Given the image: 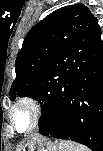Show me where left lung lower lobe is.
Listing matches in <instances>:
<instances>
[{
  "mask_svg": "<svg viewBox=\"0 0 103 151\" xmlns=\"http://www.w3.org/2000/svg\"><path fill=\"white\" fill-rule=\"evenodd\" d=\"M98 24L89 27L57 62L54 75L41 80L43 135L80 142L103 151V42Z\"/></svg>",
  "mask_w": 103,
  "mask_h": 151,
  "instance_id": "left-lung-lower-lobe-1",
  "label": "left lung lower lobe"
}]
</instances>
